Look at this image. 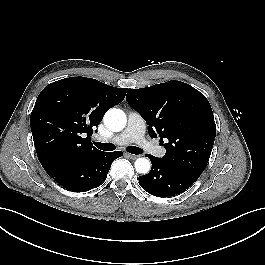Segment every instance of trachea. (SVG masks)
Masks as SVG:
<instances>
[{
    "mask_svg": "<svg viewBox=\"0 0 265 265\" xmlns=\"http://www.w3.org/2000/svg\"><path fill=\"white\" fill-rule=\"evenodd\" d=\"M94 145L100 149V150H104V151H113L115 150L116 146L112 143H101V142H94ZM126 150L131 153V154H141L143 152V150L139 147L136 146H129L126 148Z\"/></svg>",
    "mask_w": 265,
    "mask_h": 265,
    "instance_id": "obj_1",
    "label": "trachea"
}]
</instances>
